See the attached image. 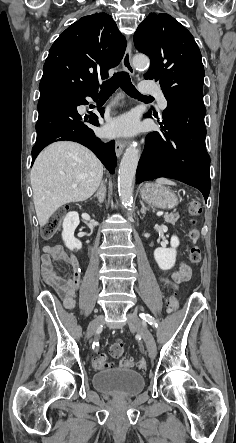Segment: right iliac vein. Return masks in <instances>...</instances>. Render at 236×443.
<instances>
[{
    "instance_id": "right-iliac-vein-1",
    "label": "right iliac vein",
    "mask_w": 236,
    "mask_h": 443,
    "mask_svg": "<svg viewBox=\"0 0 236 443\" xmlns=\"http://www.w3.org/2000/svg\"><path fill=\"white\" fill-rule=\"evenodd\" d=\"M104 316L103 315H99L97 317H95L88 325L87 327V337L90 338L94 331L96 330V328L98 327V325L102 322Z\"/></svg>"
}]
</instances>
